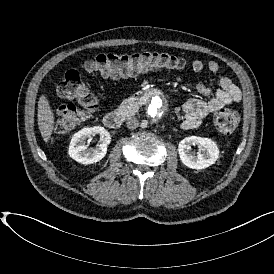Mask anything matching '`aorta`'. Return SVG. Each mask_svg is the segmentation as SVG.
I'll use <instances>...</instances> for the list:
<instances>
[{"instance_id": "762f6f07", "label": "aorta", "mask_w": 274, "mask_h": 274, "mask_svg": "<svg viewBox=\"0 0 274 274\" xmlns=\"http://www.w3.org/2000/svg\"><path fill=\"white\" fill-rule=\"evenodd\" d=\"M170 107L166 100L155 96L147 108V120L152 124H161L169 118Z\"/></svg>"}]
</instances>
